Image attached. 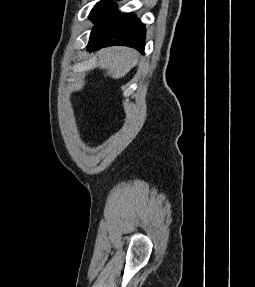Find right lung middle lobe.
Wrapping results in <instances>:
<instances>
[{
	"label": "right lung middle lobe",
	"instance_id": "right-lung-middle-lobe-1",
	"mask_svg": "<svg viewBox=\"0 0 255 287\" xmlns=\"http://www.w3.org/2000/svg\"><path fill=\"white\" fill-rule=\"evenodd\" d=\"M117 3L112 0H101L98 2L90 13V19L93 20L95 25L113 17L116 11Z\"/></svg>",
	"mask_w": 255,
	"mask_h": 287
}]
</instances>
